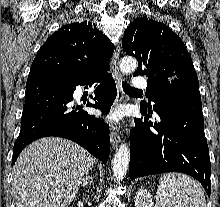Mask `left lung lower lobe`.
Listing matches in <instances>:
<instances>
[{
	"mask_svg": "<svg viewBox=\"0 0 220 207\" xmlns=\"http://www.w3.org/2000/svg\"><path fill=\"white\" fill-rule=\"evenodd\" d=\"M159 121L148 122L151 107L141 104L144 122L135 119L130 132V178L182 172L211 192V163L204 134L199 88L168 87L153 97Z\"/></svg>",
	"mask_w": 220,
	"mask_h": 207,
	"instance_id": "obj_1",
	"label": "left lung lower lobe"
}]
</instances>
